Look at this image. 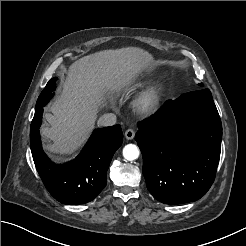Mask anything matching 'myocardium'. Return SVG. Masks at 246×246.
<instances>
[{
  "label": "myocardium",
  "mask_w": 246,
  "mask_h": 246,
  "mask_svg": "<svg viewBox=\"0 0 246 246\" xmlns=\"http://www.w3.org/2000/svg\"><path fill=\"white\" fill-rule=\"evenodd\" d=\"M162 94L160 85H152L146 88L136 99L135 108L141 114H149L156 110Z\"/></svg>",
  "instance_id": "obj_1"
}]
</instances>
